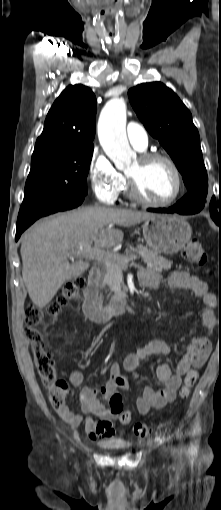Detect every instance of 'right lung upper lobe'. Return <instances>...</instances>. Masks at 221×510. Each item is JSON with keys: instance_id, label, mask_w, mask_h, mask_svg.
Returning a JSON list of instances; mask_svg holds the SVG:
<instances>
[{"instance_id": "cb5924a9", "label": "right lung upper lobe", "mask_w": 221, "mask_h": 510, "mask_svg": "<svg viewBox=\"0 0 221 510\" xmlns=\"http://www.w3.org/2000/svg\"><path fill=\"white\" fill-rule=\"evenodd\" d=\"M96 97L88 87L68 86L55 100L32 157L93 146Z\"/></svg>"}]
</instances>
